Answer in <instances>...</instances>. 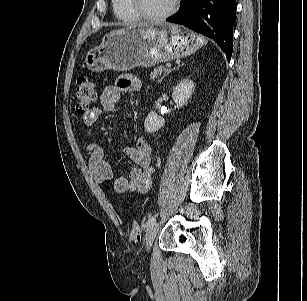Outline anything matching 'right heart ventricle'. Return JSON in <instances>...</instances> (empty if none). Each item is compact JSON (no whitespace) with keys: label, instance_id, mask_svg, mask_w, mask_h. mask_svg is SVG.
<instances>
[{"label":"right heart ventricle","instance_id":"obj_1","mask_svg":"<svg viewBox=\"0 0 307 301\" xmlns=\"http://www.w3.org/2000/svg\"><path fill=\"white\" fill-rule=\"evenodd\" d=\"M112 7L116 17L124 23H133L140 19L131 9L128 0H112Z\"/></svg>","mask_w":307,"mask_h":301}]
</instances>
